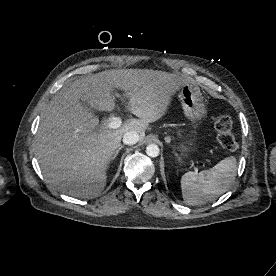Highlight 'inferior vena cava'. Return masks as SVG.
Segmentation results:
<instances>
[{"mask_svg":"<svg viewBox=\"0 0 276 276\" xmlns=\"http://www.w3.org/2000/svg\"><path fill=\"white\" fill-rule=\"evenodd\" d=\"M139 141V134L136 131H128L123 136V142L126 145H133Z\"/></svg>","mask_w":276,"mask_h":276,"instance_id":"602c4592","label":"inferior vena cava"}]
</instances>
